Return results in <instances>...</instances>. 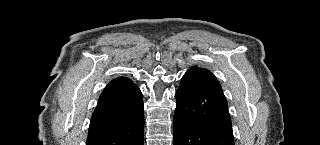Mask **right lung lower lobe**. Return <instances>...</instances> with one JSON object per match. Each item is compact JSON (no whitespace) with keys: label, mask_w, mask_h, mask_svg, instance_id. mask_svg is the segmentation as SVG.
Listing matches in <instances>:
<instances>
[{"label":"right lung lower lobe","mask_w":320,"mask_h":145,"mask_svg":"<svg viewBox=\"0 0 320 145\" xmlns=\"http://www.w3.org/2000/svg\"><path fill=\"white\" fill-rule=\"evenodd\" d=\"M144 104L128 78L112 80L93 112L86 145H143Z\"/></svg>","instance_id":"right-lung-lower-lobe-1"}]
</instances>
